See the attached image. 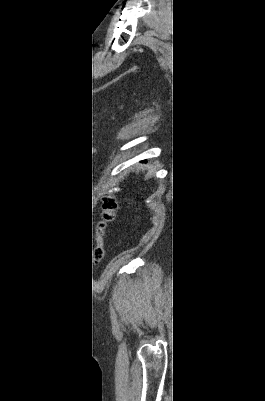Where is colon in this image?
<instances>
[{
  "mask_svg": "<svg viewBox=\"0 0 265 401\" xmlns=\"http://www.w3.org/2000/svg\"><path fill=\"white\" fill-rule=\"evenodd\" d=\"M102 209L105 217L109 220L113 219L117 210V200L113 195H106L102 199ZM104 256L103 247H98L93 252V264L98 265Z\"/></svg>",
  "mask_w": 265,
  "mask_h": 401,
  "instance_id": "1",
  "label": "colon"
}]
</instances>
